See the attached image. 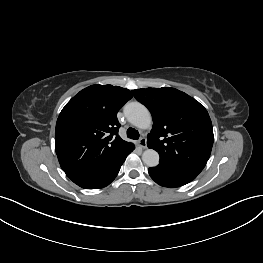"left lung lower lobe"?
I'll use <instances>...</instances> for the list:
<instances>
[{
    "label": "left lung lower lobe",
    "instance_id": "1",
    "mask_svg": "<svg viewBox=\"0 0 263 263\" xmlns=\"http://www.w3.org/2000/svg\"><path fill=\"white\" fill-rule=\"evenodd\" d=\"M151 178L159 185L164 187H180L191 182L196 178V174L183 172L158 165L148 169Z\"/></svg>",
    "mask_w": 263,
    "mask_h": 263
}]
</instances>
